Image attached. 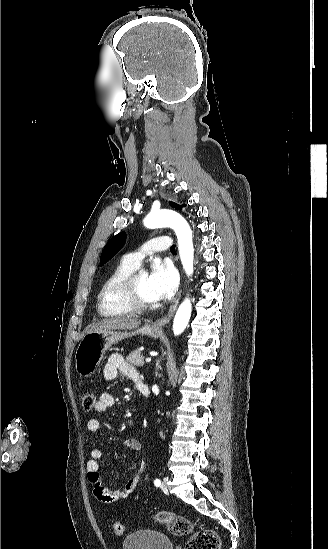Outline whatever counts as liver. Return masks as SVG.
I'll list each match as a JSON object with an SVG mask.
<instances>
[{"label":"liver","instance_id":"1","mask_svg":"<svg viewBox=\"0 0 328 549\" xmlns=\"http://www.w3.org/2000/svg\"><path fill=\"white\" fill-rule=\"evenodd\" d=\"M141 321L131 317H106L88 329L87 333H101V331H131L140 327Z\"/></svg>","mask_w":328,"mask_h":549}]
</instances>
